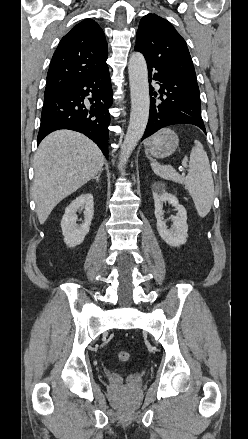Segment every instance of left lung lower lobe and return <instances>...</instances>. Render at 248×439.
<instances>
[{
    "label": "left lung lower lobe",
    "instance_id": "obj_1",
    "mask_svg": "<svg viewBox=\"0 0 248 439\" xmlns=\"http://www.w3.org/2000/svg\"><path fill=\"white\" fill-rule=\"evenodd\" d=\"M150 74V113L142 140L159 129L174 124H192L206 129L201 117L200 93L197 81L169 71L147 61ZM151 80H156L160 89L154 92ZM159 96L155 99L152 96Z\"/></svg>",
    "mask_w": 248,
    "mask_h": 439
}]
</instances>
